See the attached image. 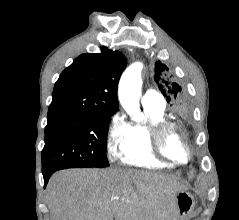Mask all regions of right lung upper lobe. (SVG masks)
I'll return each mask as SVG.
<instances>
[{"mask_svg": "<svg viewBox=\"0 0 239 220\" xmlns=\"http://www.w3.org/2000/svg\"><path fill=\"white\" fill-rule=\"evenodd\" d=\"M101 50L80 55L62 72L54 86L48 116L117 112V87L127 61L118 51Z\"/></svg>", "mask_w": 239, "mask_h": 220, "instance_id": "right-lung-upper-lobe-1", "label": "right lung upper lobe"}]
</instances>
